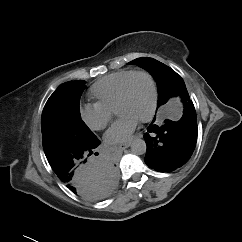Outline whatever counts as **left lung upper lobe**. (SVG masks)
Masks as SVG:
<instances>
[{
    "instance_id": "left-lung-upper-lobe-1",
    "label": "left lung upper lobe",
    "mask_w": 242,
    "mask_h": 242,
    "mask_svg": "<svg viewBox=\"0 0 242 242\" xmlns=\"http://www.w3.org/2000/svg\"><path fill=\"white\" fill-rule=\"evenodd\" d=\"M128 64H137L148 70L158 86V104L157 107L165 104L170 97L177 95H188L185 83L180 75L173 69L153 58H137Z\"/></svg>"
}]
</instances>
